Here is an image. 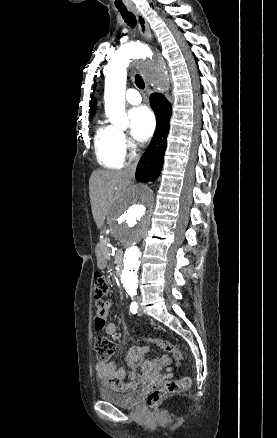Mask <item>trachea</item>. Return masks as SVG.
<instances>
[{
  "label": "trachea",
  "instance_id": "1",
  "mask_svg": "<svg viewBox=\"0 0 277 438\" xmlns=\"http://www.w3.org/2000/svg\"><path fill=\"white\" fill-rule=\"evenodd\" d=\"M118 10L121 13V16L123 17L124 21L127 23V25L130 26L131 28H135L137 24L135 15L129 12L126 7H118ZM135 84L141 90L145 88V83L143 81V78L139 74L135 76Z\"/></svg>",
  "mask_w": 277,
  "mask_h": 438
}]
</instances>
